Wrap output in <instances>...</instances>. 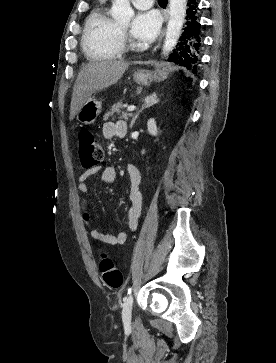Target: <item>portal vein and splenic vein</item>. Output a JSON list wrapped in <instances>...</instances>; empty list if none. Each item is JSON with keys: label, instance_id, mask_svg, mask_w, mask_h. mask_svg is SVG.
<instances>
[{"label": "portal vein and splenic vein", "instance_id": "portal-vein-and-splenic-vein-1", "mask_svg": "<svg viewBox=\"0 0 276 363\" xmlns=\"http://www.w3.org/2000/svg\"><path fill=\"white\" fill-rule=\"evenodd\" d=\"M136 109V106H134V105H130V106H128V108H127V111H134Z\"/></svg>", "mask_w": 276, "mask_h": 363}]
</instances>
